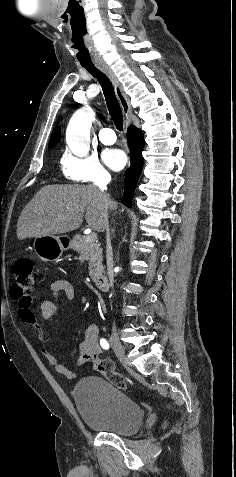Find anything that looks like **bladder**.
<instances>
[{
  "instance_id": "bladder-1",
  "label": "bladder",
  "mask_w": 236,
  "mask_h": 477,
  "mask_svg": "<svg viewBox=\"0 0 236 477\" xmlns=\"http://www.w3.org/2000/svg\"><path fill=\"white\" fill-rule=\"evenodd\" d=\"M73 397L80 417L89 428L127 436L137 433L142 427L141 406L104 378L81 379L75 386Z\"/></svg>"
}]
</instances>
